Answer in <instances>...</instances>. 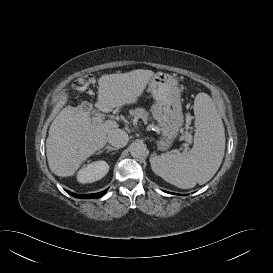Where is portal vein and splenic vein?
<instances>
[{"instance_id": "18ae733b", "label": "portal vein and splenic vein", "mask_w": 273, "mask_h": 273, "mask_svg": "<svg viewBox=\"0 0 273 273\" xmlns=\"http://www.w3.org/2000/svg\"><path fill=\"white\" fill-rule=\"evenodd\" d=\"M93 120H94V121H97V122H103V121H104V118L101 117V116H97V117H94ZM106 121H111V120H106Z\"/></svg>"}]
</instances>
